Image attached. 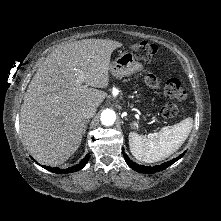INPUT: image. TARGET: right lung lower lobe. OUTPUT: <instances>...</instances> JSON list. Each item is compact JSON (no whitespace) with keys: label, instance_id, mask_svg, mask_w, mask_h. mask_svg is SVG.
I'll return each mask as SVG.
<instances>
[{"label":"right lung lower lobe","instance_id":"1","mask_svg":"<svg viewBox=\"0 0 221 221\" xmlns=\"http://www.w3.org/2000/svg\"><path fill=\"white\" fill-rule=\"evenodd\" d=\"M89 157L90 156L87 154L85 156V158L80 161L79 164H77L73 167H69L68 169L52 168L49 166H42V167H44L45 169H47L50 172L57 173V174H59V173H64V174L72 173V172H76V171H79L80 169H82L87 164Z\"/></svg>","mask_w":221,"mask_h":221}]
</instances>
